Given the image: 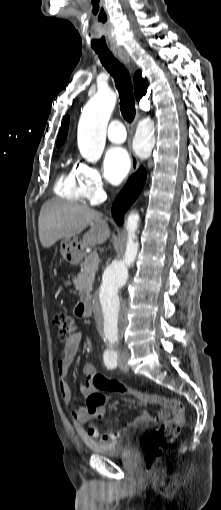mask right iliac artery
<instances>
[{
	"instance_id": "82829eb1",
	"label": "right iliac artery",
	"mask_w": 221,
	"mask_h": 510,
	"mask_svg": "<svg viewBox=\"0 0 221 510\" xmlns=\"http://www.w3.org/2000/svg\"><path fill=\"white\" fill-rule=\"evenodd\" d=\"M104 363L108 369H114L117 367V353L114 350H106L104 352Z\"/></svg>"
}]
</instances>
